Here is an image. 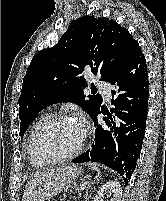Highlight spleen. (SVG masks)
I'll use <instances>...</instances> for the list:
<instances>
[{
  "mask_svg": "<svg viewBox=\"0 0 166 201\" xmlns=\"http://www.w3.org/2000/svg\"><path fill=\"white\" fill-rule=\"evenodd\" d=\"M91 168L98 172V177H100V170L94 164H91ZM98 177H96L97 181H99Z\"/></svg>",
  "mask_w": 166,
  "mask_h": 201,
  "instance_id": "3e777b00",
  "label": "spleen"
}]
</instances>
